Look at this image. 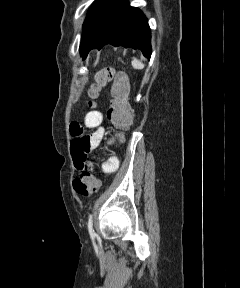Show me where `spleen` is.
<instances>
[{
  "label": "spleen",
  "mask_w": 240,
  "mask_h": 288,
  "mask_svg": "<svg viewBox=\"0 0 240 288\" xmlns=\"http://www.w3.org/2000/svg\"><path fill=\"white\" fill-rule=\"evenodd\" d=\"M132 66L135 69H143L144 68V64L141 61L137 60L136 58H133Z\"/></svg>",
  "instance_id": "obj_1"
}]
</instances>
